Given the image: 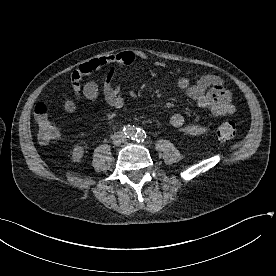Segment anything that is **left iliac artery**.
Here are the masks:
<instances>
[{
  "mask_svg": "<svg viewBox=\"0 0 276 276\" xmlns=\"http://www.w3.org/2000/svg\"><path fill=\"white\" fill-rule=\"evenodd\" d=\"M144 138H146V134L144 131H141V129H139L137 131V140L140 141H144Z\"/></svg>",
  "mask_w": 276,
  "mask_h": 276,
  "instance_id": "obj_1",
  "label": "left iliac artery"
}]
</instances>
